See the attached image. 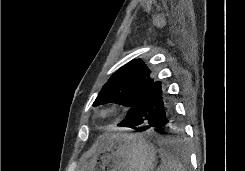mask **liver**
Wrapping results in <instances>:
<instances>
[{
  "label": "liver",
  "mask_w": 245,
  "mask_h": 171,
  "mask_svg": "<svg viewBox=\"0 0 245 171\" xmlns=\"http://www.w3.org/2000/svg\"><path fill=\"white\" fill-rule=\"evenodd\" d=\"M108 137H109V135H104V136H102L101 139H100V141H99V143H98V145H99V144H102L103 141H104L105 139H107Z\"/></svg>",
  "instance_id": "6515ba94"
}]
</instances>
